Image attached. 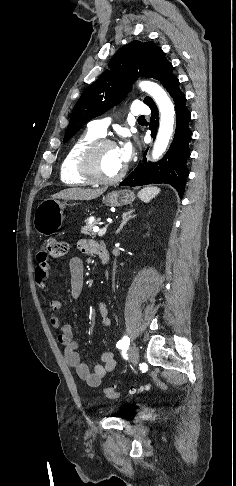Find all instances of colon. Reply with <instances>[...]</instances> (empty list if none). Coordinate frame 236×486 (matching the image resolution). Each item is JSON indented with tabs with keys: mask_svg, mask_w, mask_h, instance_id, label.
Instances as JSON below:
<instances>
[{
	"mask_svg": "<svg viewBox=\"0 0 236 486\" xmlns=\"http://www.w3.org/2000/svg\"><path fill=\"white\" fill-rule=\"evenodd\" d=\"M66 251L67 245L65 242L51 238L44 242V251L42 252V255L46 259L57 260L63 257L66 254ZM147 390H149L148 385L140 386L138 388H131L128 392V396H134ZM104 395L109 399H118L121 397L120 393L112 387L105 388Z\"/></svg>",
	"mask_w": 236,
	"mask_h": 486,
	"instance_id": "1",
	"label": "colon"
}]
</instances>
